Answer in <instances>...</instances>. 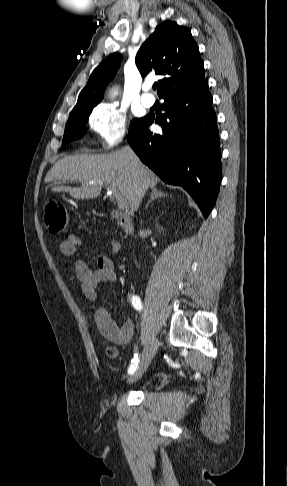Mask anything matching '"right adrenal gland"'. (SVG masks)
Wrapping results in <instances>:
<instances>
[{"mask_svg":"<svg viewBox=\"0 0 287 486\" xmlns=\"http://www.w3.org/2000/svg\"><path fill=\"white\" fill-rule=\"evenodd\" d=\"M168 194L163 193L161 190H158L157 188L152 189L151 197L150 200L146 204V209L148 208L149 204L154 201L157 198L161 197H167Z\"/></svg>","mask_w":287,"mask_h":486,"instance_id":"2a0ac1e0","label":"right adrenal gland"}]
</instances>
